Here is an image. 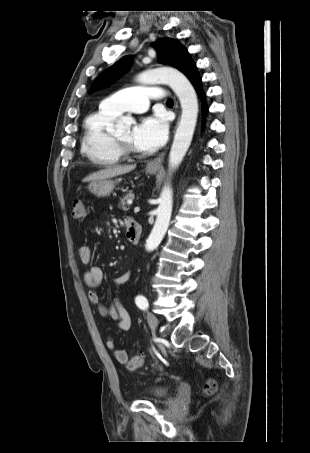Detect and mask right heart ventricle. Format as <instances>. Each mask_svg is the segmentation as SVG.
Masks as SVG:
<instances>
[{
	"mask_svg": "<svg viewBox=\"0 0 310 453\" xmlns=\"http://www.w3.org/2000/svg\"><path fill=\"white\" fill-rule=\"evenodd\" d=\"M117 116L100 106L84 120L81 153L93 165L108 167L122 160V155L112 142L110 131Z\"/></svg>",
	"mask_w": 310,
	"mask_h": 453,
	"instance_id": "e07e8e85",
	"label": "right heart ventricle"
}]
</instances>
